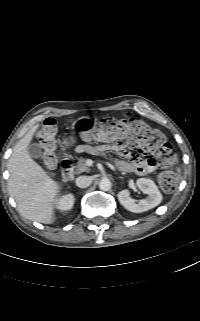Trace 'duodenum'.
I'll list each match as a JSON object with an SVG mask.
<instances>
[{
  "mask_svg": "<svg viewBox=\"0 0 200 321\" xmlns=\"http://www.w3.org/2000/svg\"><path fill=\"white\" fill-rule=\"evenodd\" d=\"M62 179L64 181H70L73 178L74 170H73V163L71 158H64L62 160Z\"/></svg>",
  "mask_w": 200,
  "mask_h": 321,
  "instance_id": "obj_1",
  "label": "duodenum"
}]
</instances>
